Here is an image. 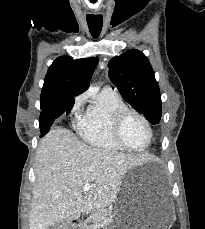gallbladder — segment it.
<instances>
[{"label": "gallbladder", "mask_w": 205, "mask_h": 229, "mask_svg": "<svg viewBox=\"0 0 205 229\" xmlns=\"http://www.w3.org/2000/svg\"><path fill=\"white\" fill-rule=\"evenodd\" d=\"M64 227H68V223L65 221L57 222L54 225L50 226L48 229H64Z\"/></svg>", "instance_id": "obj_1"}]
</instances>
